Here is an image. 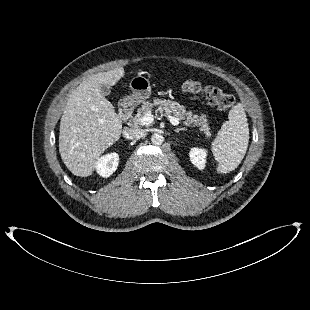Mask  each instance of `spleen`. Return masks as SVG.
I'll use <instances>...</instances> for the list:
<instances>
[{
	"mask_svg": "<svg viewBox=\"0 0 310 310\" xmlns=\"http://www.w3.org/2000/svg\"><path fill=\"white\" fill-rule=\"evenodd\" d=\"M223 123L211 149L218 162L217 171L228 173L238 167L244 158L249 142V127L244 107L241 103L233 106Z\"/></svg>",
	"mask_w": 310,
	"mask_h": 310,
	"instance_id": "1",
	"label": "spleen"
}]
</instances>
